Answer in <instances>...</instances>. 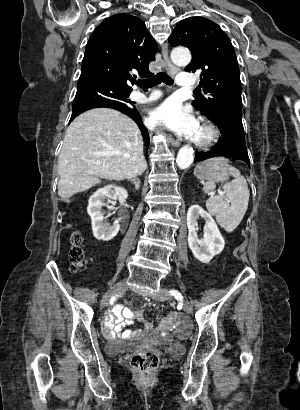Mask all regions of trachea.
Segmentation results:
<instances>
[{
	"instance_id": "1",
	"label": "trachea",
	"mask_w": 300,
	"mask_h": 410,
	"mask_svg": "<svg viewBox=\"0 0 300 410\" xmlns=\"http://www.w3.org/2000/svg\"><path fill=\"white\" fill-rule=\"evenodd\" d=\"M161 82L165 83L166 85H172L173 79L168 74L161 72L148 79L137 81L136 84L144 91H147L149 88H152L160 84Z\"/></svg>"
}]
</instances>
